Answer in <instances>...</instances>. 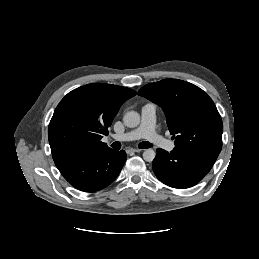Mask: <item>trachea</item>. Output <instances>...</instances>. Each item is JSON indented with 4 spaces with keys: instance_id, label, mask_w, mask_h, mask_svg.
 <instances>
[{
    "instance_id": "1",
    "label": "trachea",
    "mask_w": 259,
    "mask_h": 259,
    "mask_svg": "<svg viewBox=\"0 0 259 259\" xmlns=\"http://www.w3.org/2000/svg\"><path fill=\"white\" fill-rule=\"evenodd\" d=\"M114 149L119 150L121 148V143L120 142H114L111 145ZM152 145L149 142L143 141L141 143H139L138 147L140 149H146V148H150Z\"/></svg>"
}]
</instances>
